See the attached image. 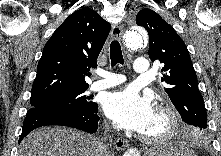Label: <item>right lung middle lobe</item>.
Returning a JSON list of instances; mask_svg holds the SVG:
<instances>
[{"mask_svg": "<svg viewBox=\"0 0 221 156\" xmlns=\"http://www.w3.org/2000/svg\"><path fill=\"white\" fill-rule=\"evenodd\" d=\"M86 89L53 94L38 99H31L32 108L67 111H92L98 105L88 101Z\"/></svg>", "mask_w": 221, "mask_h": 156, "instance_id": "obj_1", "label": "right lung middle lobe"}]
</instances>
